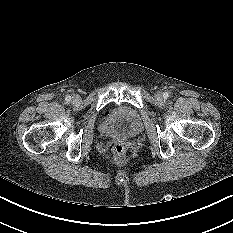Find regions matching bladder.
<instances>
[{"mask_svg":"<svg viewBox=\"0 0 233 233\" xmlns=\"http://www.w3.org/2000/svg\"><path fill=\"white\" fill-rule=\"evenodd\" d=\"M99 129L109 138H131L142 132L143 123L135 109L129 106H117L104 115Z\"/></svg>","mask_w":233,"mask_h":233,"instance_id":"obj_1","label":"bladder"}]
</instances>
